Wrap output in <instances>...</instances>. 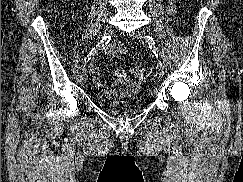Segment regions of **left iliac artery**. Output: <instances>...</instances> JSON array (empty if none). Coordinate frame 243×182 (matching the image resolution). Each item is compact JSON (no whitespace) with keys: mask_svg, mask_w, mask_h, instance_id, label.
Instances as JSON below:
<instances>
[{"mask_svg":"<svg viewBox=\"0 0 243 182\" xmlns=\"http://www.w3.org/2000/svg\"><path fill=\"white\" fill-rule=\"evenodd\" d=\"M146 37V40H147V42H148V44H149V47H150V49L152 50V52L154 53V55L156 56V58H158V50H157V47H156V45H155V41H154V39H153V37L152 36H145Z\"/></svg>","mask_w":243,"mask_h":182,"instance_id":"44dca946","label":"left iliac artery"}]
</instances>
